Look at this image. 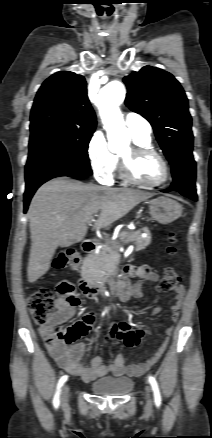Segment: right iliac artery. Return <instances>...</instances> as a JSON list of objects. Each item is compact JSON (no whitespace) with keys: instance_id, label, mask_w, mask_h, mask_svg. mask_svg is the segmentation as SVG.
Returning <instances> with one entry per match:
<instances>
[{"instance_id":"1","label":"right iliac artery","mask_w":212,"mask_h":438,"mask_svg":"<svg viewBox=\"0 0 212 438\" xmlns=\"http://www.w3.org/2000/svg\"><path fill=\"white\" fill-rule=\"evenodd\" d=\"M68 376L64 375L60 378L58 385H57V391L54 395V399H53V405L55 408H58L59 404H60V390L61 387L63 386V384L67 381Z\"/></svg>"}]
</instances>
